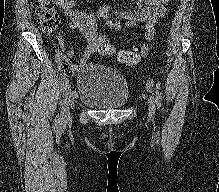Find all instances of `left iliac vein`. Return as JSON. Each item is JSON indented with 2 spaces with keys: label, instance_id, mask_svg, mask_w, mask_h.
<instances>
[{
  "label": "left iliac vein",
  "instance_id": "obj_1",
  "mask_svg": "<svg viewBox=\"0 0 219 192\" xmlns=\"http://www.w3.org/2000/svg\"><path fill=\"white\" fill-rule=\"evenodd\" d=\"M149 114L152 116L155 112V102L152 98L148 99Z\"/></svg>",
  "mask_w": 219,
  "mask_h": 192
}]
</instances>
